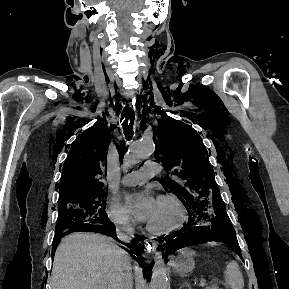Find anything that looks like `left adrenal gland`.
Returning <instances> with one entry per match:
<instances>
[{"mask_svg":"<svg viewBox=\"0 0 289 289\" xmlns=\"http://www.w3.org/2000/svg\"><path fill=\"white\" fill-rule=\"evenodd\" d=\"M183 287H188L190 289V284L188 283V281H185L179 289H182Z\"/></svg>","mask_w":289,"mask_h":289,"instance_id":"left-adrenal-gland-1","label":"left adrenal gland"}]
</instances>
